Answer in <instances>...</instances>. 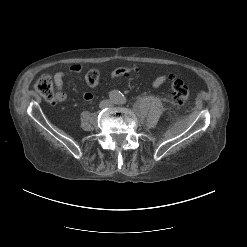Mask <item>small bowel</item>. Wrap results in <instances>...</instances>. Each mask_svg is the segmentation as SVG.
Masks as SVG:
<instances>
[{"label": "small bowel", "instance_id": "c3829d8e", "mask_svg": "<svg viewBox=\"0 0 247 247\" xmlns=\"http://www.w3.org/2000/svg\"><path fill=\"white\" fill-rule=\"evenodd\" d=\"M129 71L130 70L128 68L120 67V68H117L113 71V76L114 77H121V76L127 74ZM81 72H82V66L81 65L75 64V65H72L70 67V73H72V74H79ZM65 77H66V72H64V71H57L53 77L55 86L57 88L56 98L59 102H62L66 99V94L63 92V85H64ZM167 80H168V76L160 75V76L156 77L155 80L153 81V87L159 88L163 84H165ZM83 97H84V100L88 101V102L93 100V94L91 92H85Z\"/></svg>", "mask_w": 247, "mask_h": 247}]
</instances>
